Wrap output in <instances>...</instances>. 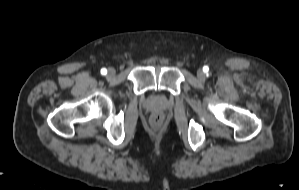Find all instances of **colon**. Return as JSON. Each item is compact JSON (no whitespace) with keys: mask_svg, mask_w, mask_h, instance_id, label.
Masks as SVG:
<instances>
[{"mask_svg":"<svg viewBox=\"0 0 299 190\" xmlns=\"http://www.w3.org/2000/svg\"><path fill=\"white\" fill-rule=\"evenodd\" d=\"M153 122L156 123V124L159 123L160 122V118L159 117H154Z\"/></svg>","mask_w":299,"mask_h":190,"instance_id":"obj_1","label":"colon"}]
</instances>
